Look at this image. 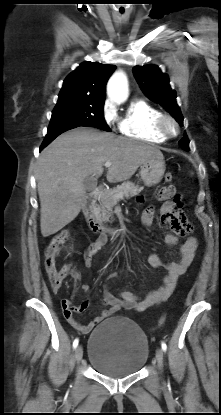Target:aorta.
Listing matches in <instances>:
<instances>
[{
  "instance_id": "1",
  "label": "aorta",
  "mask_w": 221,
  "mask_h": 415,
  "mask_svg": "<svg viewBox=\"0 0 221 415\" xmlns=\"http://www.w3.org/2000/svg\"><path fill=\"white\" fill-rule=\"evenodd\" d=\"M107 94L112 101L118 104L127 99L128 83L123 72L117 71L112 75L107 85Z\"/></svg>"
}]
</instances>
